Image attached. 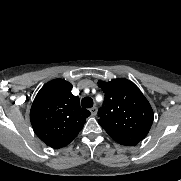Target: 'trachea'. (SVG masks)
Returning a JSON list of instances; mask_svg holds the SVG:
<instances>
[{
	"label": "trachea",
	"mask_w": 181,
	"mask_h": 181,
	"mask_svg": "<svg viewBox=\"0 0 181 181\" xmlns=\"http://www.w3.org/2000/svg\"><path fill=\"white\" fill-rule=\"evenodd\" d=\"M81 106L85 108H91L93 106V99L90 97H85L81 101Z\"/></svg>",
	"instance_id": "1"
}]
</instances>
